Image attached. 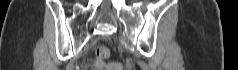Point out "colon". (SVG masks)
<instances>
[{
    "label": "colon",
    "mask_w": 238,
    "mask_h": 70,
    "mask_svg": "<svg viewBox=\"0 0 238 70\" xmlns=\"http://www.w3.org/2000/svg\"><path fill=\"white\" fill-rule=\"evenodd\" d=\"M96 56L95 66L97 69L103 70H119L120 63H104L103 61L109 57V49L106 46H97L94 50Z\"/></svg>",
    "instance_id": "1"
}]
</instances>
